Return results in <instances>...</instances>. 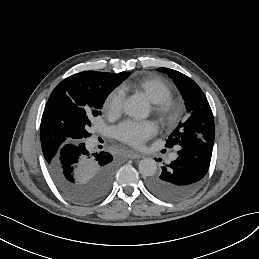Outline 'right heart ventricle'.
<instances>
[{
  "instance_id": "obj_1",
  "label": "right heart ventricle",
  "mask_w": 259,
  "mask_h": 259,
  "mask_svg": "<svg viewBox=\"0 0 259 259\" xmlns=\"http://www.w3.org/2000/svg\"><path fill=\"white\" fill-rule=\"evenodd\" d=\"M122 94L144 93L152 103H159L172 97V88L160 79L148 80L147 77H134L119 85Z\"/></svg>"
}]
</instances>
